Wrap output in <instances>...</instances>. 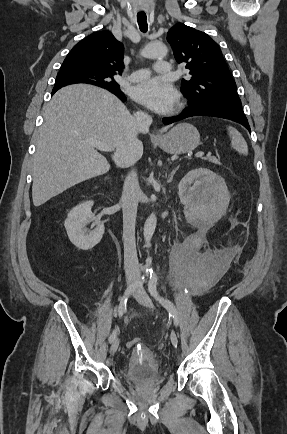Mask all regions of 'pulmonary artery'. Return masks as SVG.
<instances>
[{"label": "pulmonary artery", "mask_w": 287, "mask_h": 434, "mask_svg": "<svg viewBox=\"0 0 287 434\" xmlns=\"http://www.w3.org/2000/svg\"><path fill=\"white\" fill-rule=\"evenodd\" d=\"M154 71L161 75H167L171 73V66L164 61H158L154 64ZM150 76V72L147 69H139L132 72L127 79L131 82H138L147 79Z\"/></svg>", "instance_id": "1"}]
</instances>
